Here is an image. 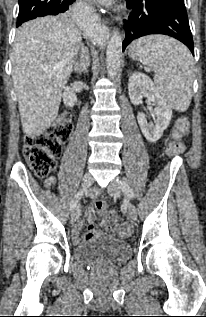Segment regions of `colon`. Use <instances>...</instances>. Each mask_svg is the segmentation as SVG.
<instances>
[{
  "label": "colon",
  "mask_w": 206,
  "mask_h": 317,
  "mask_svg": "<svg viewBox=\"0 0 206 317\" xmlns=\"http://www.w3.org/2000/svg\"><path fill=\"white\" fill-rule=\"evenodd\" d=\"M71 117L67 112H63L47 128V130L38 136H28L25 139L24 156L27 163L38 176H46L56 166L63 144L68 140L71 134ZM189 132V120L185 116L179 117L175 121L173 137L167 146V154L175 156L185 150L184 136ZM95 210L104 214L108 223L117 221V214L107 212V205L103 201L94 203ZM122 236H128L131 233V227L127 223H122L118 227Z\"/></svg>",
  "instance_id": "colon-1"
}]
</instances>
